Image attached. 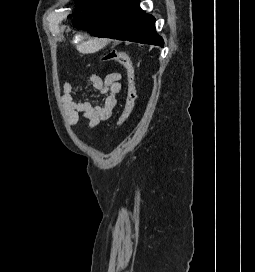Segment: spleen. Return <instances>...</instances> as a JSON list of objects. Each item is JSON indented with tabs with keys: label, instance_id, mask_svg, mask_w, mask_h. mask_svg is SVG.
<instances>
[{
	"label": "spleen",
	"instance_id": "obj_1",
	"mask_svg": "<svg viewBox=\"0 0 255 272\" xmlns=\"http://www.w3.org/2000/svg\"><path fill=\"white\" fill-rule=\"evenodd\" d=\"M105 42L98 39H89L88 41L82 42L76 46L80 53L88 54L99 51L105 46Z\"/></svg>",
	"mask_w": 255,
	"mask_h": 272
}]
</instances>
